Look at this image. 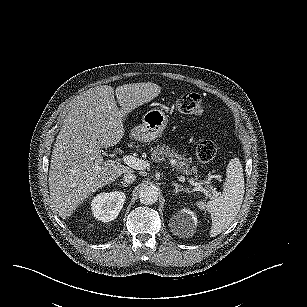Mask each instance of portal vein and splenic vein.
<instances>
[{"label":"portal vein and splenic vein","mask_w":307,"mask_h":307,"mask_svg":"<svg viewBox=\"0 0 307 307\" xmlns=\"http://www.w3.org/2000/svg\"><path fill=\"white\" fill-rule=\"evenodd\" d=\"M123 161L129 167L136 169V170H144L150 167V164L148 163V161L141 160L131 155L123 156ZM189 182L192 186H195L194 191H200L204 195L209 196L208 191L201 185V183L195 182L193 180H190Z\"/></svg>","instance_id":"1"}]
</instances>
